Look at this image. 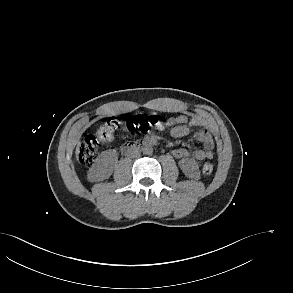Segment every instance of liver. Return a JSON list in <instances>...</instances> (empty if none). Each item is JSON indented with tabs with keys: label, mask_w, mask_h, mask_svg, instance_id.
<instances>
[{
	"label": "liver",
	"mask_w": 293,
	"mask_h": 293,
	"mask_svg": "<svg viewBox=\"0 0 293 293\" xmlns=\"http://www.w3.org/2000/svg\"><path fill=\"white\" fill-rule=\"evenodd\" d=\"M75 154H76V159L78 160V156H79V145L76 148Z\"/></svg>",
	"instance_id": "obj_1"
}]
</instances>
